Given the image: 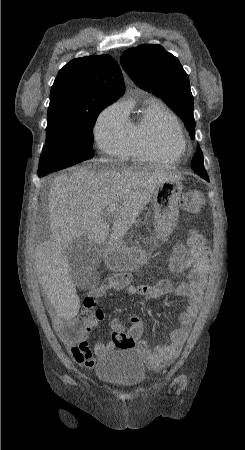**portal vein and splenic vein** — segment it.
Returning <instances> with one entry per match:
<instances>
[{"label": "portal vein and splenic vein", "mask_w": 245, "mask_h": 450, "mask_svg": "<svg viewBox=\"0 0 245 450\" xmlns=\"http://www.w3.org/2000/svg\"><path fill=\"white\" fill-rule=\"evenodd\" d=\"M114 210H115V207H114V206H109V207L107 208L108 214H112V213L114 212Z\"/></svg>", "instance_id": "obj_1"}]
</instances>
